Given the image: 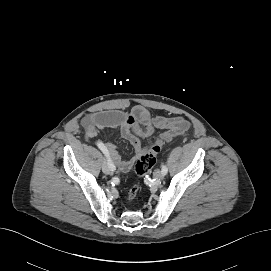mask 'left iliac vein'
I'll return each mask as SVG.
<instances>
[{
    "label": "left iliac vein",
    "mask_w": 271,
    "mask_h": 271,
    "mask_svg": "<svg viewBox=\"0 0 271 271\" xmlns=\"http://www.w3.org/2000/svg\"><path fill=\"white\" fill-rule=\"evenodd\" d=\"M154 177H155L157 180H162V179L164 178V174L162 173V171L157 170V171L154 173Z\"/></svg>",
    "instance_id": "4c4485c4"
}]
</instances>
